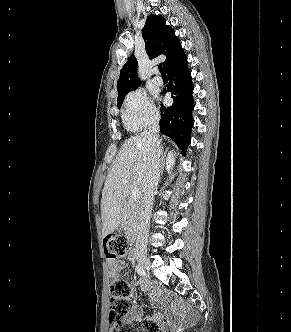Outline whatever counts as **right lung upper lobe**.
<instances>
[{"instance_id":"1","label":"right lung upper lobe","mask_w":291,"mask_h":332,"mask_svg":"<svg viewBox=\"0 0 291 332\" xmlns=\"http://www.w3.org/2000/svg\"><path fill=\"white\" fill-rule=\"evenodd\" d=\"M161 15H150L147 17L142 36L146 44V52L150 59L159 55H166L163 67H169L180 61L186 55L181 47L174 30L165 24ZM141 84L137 77V61L131 56L120 71L117 81V102L124 99L125 95Z\"/></svg>"}]
</instances>
